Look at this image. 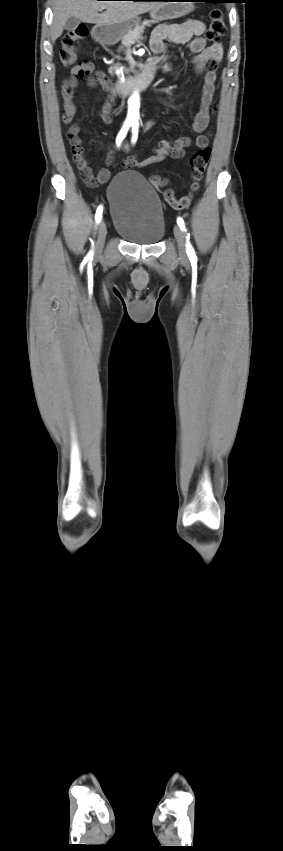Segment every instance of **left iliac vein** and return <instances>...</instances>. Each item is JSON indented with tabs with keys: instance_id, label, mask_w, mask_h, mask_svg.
Here are the masks:
<instances>
[{
	"instance_id": "obj_1",
	"label": "left iliac vein",
	"mask_w": 283,
	"mask_h": 851,
	"mask_svg": "<svg viewBox=\"0 0 283 851\" xmlns=\"http://www.w3.org/2000/svg\"><path fill=\"white\" fill-rule=\"evenodd\" d=\"M173 232H174V236H175V239H176V242H177L179 254H180L181 257L184 258V257H186V245H185L183 232L178 225L174 226Z\"/></svg>"
}]
</instances>
